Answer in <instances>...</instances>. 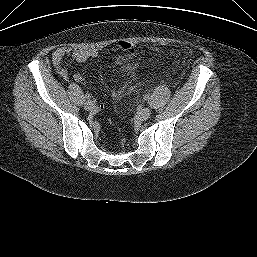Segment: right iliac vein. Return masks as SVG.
<instances>
[{
    "label": "right iliac vein",
    "mask_w": 257,
    "mask_h": 257,
    "mask_svg": "<svg viewBox=\"0 0 257 257\" xmlns=\"http://www.w3.org/2000/svg\"><path fill=\"white\" fill-rule=\"evenodd\" d=\"M84 108L87 111H92V110H94L95 106L91 101H87V102L84 103Z\"/></svg>",
    "instance_id": "1"
}]
</instances>
